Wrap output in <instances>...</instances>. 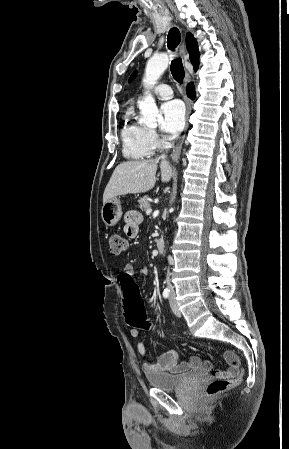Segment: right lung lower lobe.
<instances>
[{
	"instance_id": "98d812e1",
	"label": "right lung lower lobe",
	"mask_w": 289,
	"mask_h": 449,
	"mask_svg": "<svg viewBox=\"0 0 289 449\" xmlns=\"http://www.w3.org/2000/svg\"><path fill=\"white\" fill-rule=\"evenodd\" d=\"M187 95L191 99L195 98V89H194V84L193 83H190V84L187 85Z\"/></svg>"
}]
</instances>
